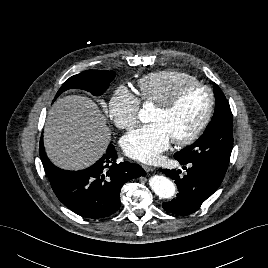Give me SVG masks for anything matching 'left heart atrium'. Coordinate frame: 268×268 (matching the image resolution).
Masks as SVG:
<instances>
[{"mask_svg":"<svg viewBox=\"0 0 268 268\" xmlns=\"http://www.w3.org/2000/svg\"><path fill=\"white\" fill-rule=\"evenodd\" d=\"M170 136L159 123H151L136 128L127 133L123 138L125 154L144 163L157 161L161 152L170 144Z\"/></svg>","mask_w":268,"mask_h":268,"instance_id":"39dd6f15","label":"left heart atrium"}]
</instances>
